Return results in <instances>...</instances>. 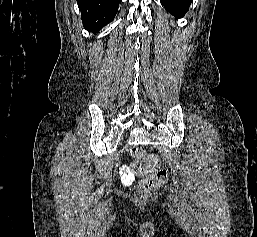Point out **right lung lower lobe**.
Returning a JSON list of instances; mask_svg holds the SVG:
<instances>
[{
	"label": "right lung lower lobe",
	"instance_id": "obj_1",
	"mask_svg": "<svg viewBox=\"0 0 257 237\" xmlns=\"http://www.w3.org/2000/svg\"><path fill=\"white\" fill-rule=\"evenodd\" d=\"M121 0H77L81 19L86 30L98 31L110 23Z\"/></svg>",
	"mask_w": 257,
	"mask_h": 237
}]
</instances>
